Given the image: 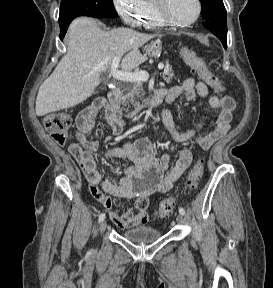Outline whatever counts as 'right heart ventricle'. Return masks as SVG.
<instances>
[{
  "label": "right heart ventricle",
  "mask_w": 273,
  "mask_h": 288,
  "mask_svg": "<svg viewBox=\"0 0 273 288\" xmlns=\"http://www.w3.org/2000/svg\"><path fill=\"white\" fill-rule=\"evenodd\" d=\"M140 25L149 29L159 28L164 25L156 15L153 0H148V7L146 12L142 16Z\"/></svg>",
  "instance_id": "obj_1"
}]
</instances>
